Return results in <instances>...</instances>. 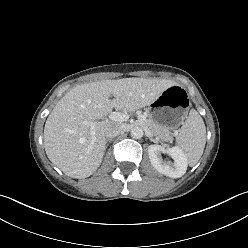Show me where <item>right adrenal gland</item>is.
<instances>
[{
    "label": "right adrenal gland",
    "instance_id": "obj_1",
    "mask_svg": "<svg viewBox=\"0 0 248 248\" xmlns=\"http://www.w3.org/2000/svg\"><path fill=\"white\" fill-rule=\"evenodd\" d=\"M111 141H112V139H108V140L106 141V143H107V144H106V148H107L108 145H109L108 143H111Z\"/></svg>",
    "mask_w": 248,
    "mask_h": 248
}]
</instances>
